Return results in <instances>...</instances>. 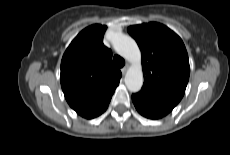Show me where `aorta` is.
Here are the masks:
<instances>
[{"instance_id": "obj_1", "label": "aorta", "mask_w": 230, "mask_h": 155, "mask_svg": "<svg viewBox=\"0 0 230 155\" xmlns=\"http://www.w3.org/2000/svg\"><path fill=\"white\" fill-rule=\"evenodd\" d=\"M115 51L133 65L125 75V85L130 92L140 91L143 85V73L141 68V52L133 38L119 34L112 40Z\"/></svg>"}]
</instances>
